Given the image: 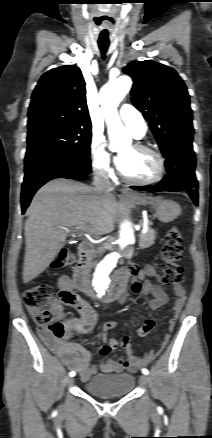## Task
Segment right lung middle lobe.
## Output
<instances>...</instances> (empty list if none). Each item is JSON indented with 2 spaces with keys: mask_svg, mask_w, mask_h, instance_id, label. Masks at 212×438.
Wrapping results in <instances>:
<instances>
[{
  "mask_svg": "<svg viewBox=\"0 0 212 438\" xmlns=\"http://www.w3.org/2000/svg\"><path fill=\"white\" fill-rule=\"evenodd\" d=\"M26 155L81 156L89 158L90 129L42 126L28 131Z\"/></svg>",
  "mask_w": 212,
  "mask_h": 438,
  "instance_id": "1",
  "label": "right lung middle lobe"
}]
</instances>
